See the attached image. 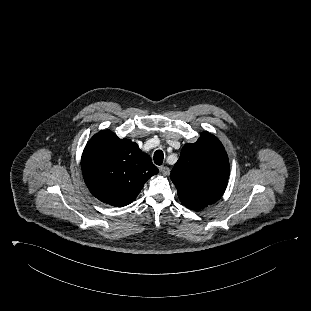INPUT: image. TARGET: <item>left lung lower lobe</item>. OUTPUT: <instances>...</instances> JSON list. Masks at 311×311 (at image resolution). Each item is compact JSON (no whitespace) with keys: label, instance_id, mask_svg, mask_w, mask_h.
<instances>
[{"label":"left lung lower lobe","instance_id":"1","mask_svg":"<svg viewBox=\"0 0 311 311\" xmlns=\"http://www.w3.org/2000/svg\"><path fill=\"white\" fill-rule=\"evenodd\" d=\"M186 206V205H185ZM188 208L192 209V210H200L206 206H203V207H191V206H187Z\"/></svg>","mask_w":311,"mask_h":311}]
</instances>
